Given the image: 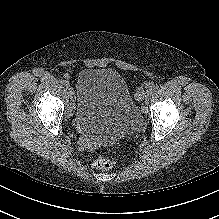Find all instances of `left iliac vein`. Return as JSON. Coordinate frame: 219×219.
I'll return each instance as SVG.
<instances>
[{"label": "left iliac vein", "mask_w": 219, "mask_h": 219, "mask_svg": "<svg viewBox=\"0 0 219 219\" xmlns=\"http://www.w3.org/2000/svg\"><path fill=\"white\" fill-rule=\"evenodd\" d=\"M137 96L143 101L142 111L146 113L148 111L147 105L149 103L150 93L145 92L143 89H139L137 91Z\"/></svg>", "instance_id": "left-iliac-vein-1"}]
</instances>
